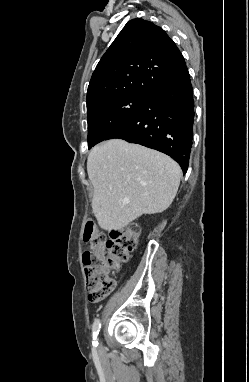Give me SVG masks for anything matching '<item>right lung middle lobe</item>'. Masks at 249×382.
I'll list each match as a JSON object with an SVG mask.
<instances>
[{
    "label": "right lung middle lobe",
    "instance_id": "right-lung-middle-lobe-1",
    "mask_svg": "<svg viewBox=\"0 0 249 382\" xmlns=\"http://www.w3.org/2000/svg\"><path fill=\"white\" fill-rule=\"evenodd\" d=\"M147 94H129L113 101L87 109L88 148L128 123L142 108Z\"/></svg>",
    "mask_w": 249,
    "mask_h": 382
}]
</instances>
